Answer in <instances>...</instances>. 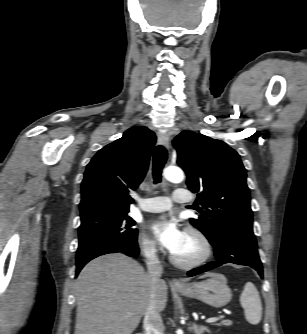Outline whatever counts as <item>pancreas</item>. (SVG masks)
Here are the masks:
<instances>
[{"label": "pancreas", "mask_w": 307, "mask_h": 334, "mask_svg": "<svg viewBox=\"0 0 307 334\" xmlns=\"http://www.w3.org/2000/svg\"><path fill=\"white\" fill-rule=\"evenodd\" d=\"M233 324L230 320H223L220 323H216L217 326H231Z\"/></svg>", "instance_id": "1"}]
</instances>
